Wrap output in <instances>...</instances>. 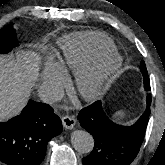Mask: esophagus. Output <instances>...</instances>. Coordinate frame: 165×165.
Here are the masks:
<instances>
[{
    "instance_id": "34e87169",
    "label": "esophagus",
    "mask_w": 165,
    "mask_h": 165,
    "mask_svg": "<svg viewBox=\"0 0 165 165\" xmlns=\"http://www.w3.org/2000/svg\"><path fill=\"white\" fill-rule=\"evenodd\" d=\"M62 124L66 129H73L76 124V119L71 116H64L61 118Z\"/></svg>"
}]
</instances>
